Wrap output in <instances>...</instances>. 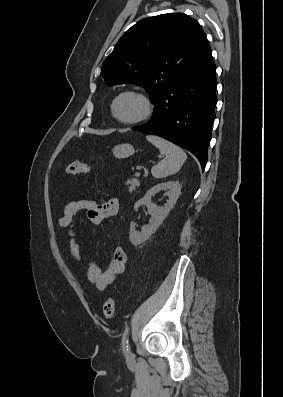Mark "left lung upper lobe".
<instances>
[{
	"label": "left lung upper lobe",
	"mask_w": 283,
	"mask_h": 397,
	"mask_svg": "<svg viewBox=\"0 0 283 397\" xmlns=\"http://www.w3.org/2000/svg\"><path fill=\"white\" fill-rule=\"evenodd\" d=\"M211 48L200 24L184 13L144 18L127 30L107 57L108 85L133 83L157 104L171 85Z\"/></svg>",
	"instance_id": "5c2ea615"
}]
</instances>
